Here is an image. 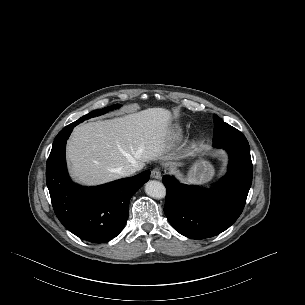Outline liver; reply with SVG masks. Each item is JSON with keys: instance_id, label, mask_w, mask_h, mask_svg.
<instances>
[{"instance_id": "liver-1", "label": "liver", "mask_w": 305, "mask_h": 305, "mask_svg": "<svg viewBox=\"0 0 305 305\" xmlns=\"http://www.w3.org/2000/svg\"><path fill=\"white\" fill-rule=\"evenodd\" d=\"M171 117L169 110L156 107L77 126L66 151L71 176L97 185L119 178L117 167L164 158L171 147Z\"/></svg>"}]
</instances>
